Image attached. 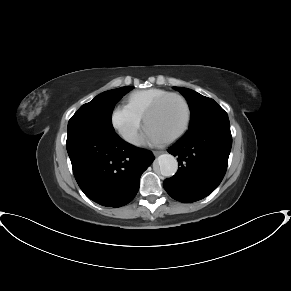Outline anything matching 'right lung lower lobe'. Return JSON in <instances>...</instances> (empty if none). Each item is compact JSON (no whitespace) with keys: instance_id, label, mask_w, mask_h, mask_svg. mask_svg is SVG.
I'll use <instances>...</instances> for the list:
<instances>
[{"instance_id":"right-lung-lower-lobe-1","label":"right lung lower lobe","mask_w":291,"mask_h":291,"mask_svg":"<svg viewBox=\"0 0 291 291\" xmlns=\"http://www.w3.org/2000/svg\"><path fill=\"white\" fill-rule=\"evenodd\" d=\"M66 147L84 194L113 208L133 200L142 173L154 161L152 152L125 142L115 132L73 129L67 133Z\"/></svg>"}]
</instances>
